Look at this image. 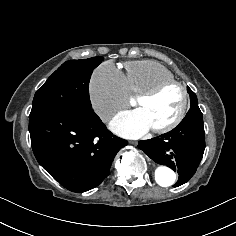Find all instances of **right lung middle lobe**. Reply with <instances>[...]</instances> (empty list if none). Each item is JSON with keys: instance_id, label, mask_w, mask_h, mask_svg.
<instances>
[{"instance_id": "right-lung-middle-lobe-1", "label": "right lung middle lobe", "mask_w": 236, "mask_h": 236, "mask_svg": "<svg viewBox=\"0 0 236 236\" xmlns=\"http://www.w3.org/2000/svg\"><path fill=\"white\" fill-rule=\"evenodd\" d=\"M102 57L63 63L35 93L29 119L64 110H90L89 81Z\"/></svg>"}]
</instances>
